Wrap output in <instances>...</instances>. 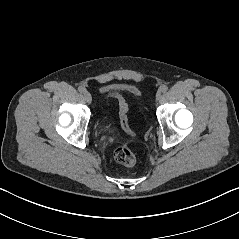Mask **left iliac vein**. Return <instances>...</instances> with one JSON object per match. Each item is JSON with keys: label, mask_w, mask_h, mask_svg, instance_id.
<instances>
[{"label": "left iliac vein", "mask_w": 239, "mask_h": 239, "mask_svg": "<svg viewBox=\"0 0 239 239\" xmlns=\"http://www.w3.org/2000/svg\"><path fill=\"white\" fill-rule=\"evenodd\" d=\"M161 98V91L159 90L157 93H156V100H159Z\"/></svg>", "instance_id": "obj_1"}]
</instances>
